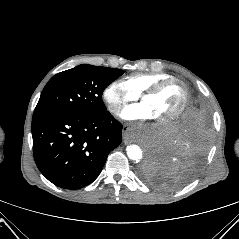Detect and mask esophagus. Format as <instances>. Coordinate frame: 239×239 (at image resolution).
<instances>
[{
	"instance_id": "1",
	"label": "esophagus",
	"mask_w": 239,
	"mask_h": 239,
	"mask_svg": "<svg viewBox=\"0 0 239 239\" xmlns=\"http://www.w3.org/2000/svg\"><path fill=\"white\" fill-rule=\"evenodd\" d=\"M128 130H129V127H127L126 125L123 126V139L125 143L129 141Z\"/></svg>"
}]
</instances>
